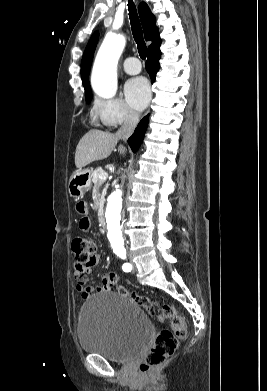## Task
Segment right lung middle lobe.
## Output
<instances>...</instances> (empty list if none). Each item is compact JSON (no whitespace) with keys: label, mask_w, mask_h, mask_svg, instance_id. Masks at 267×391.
<instances>
[{"label":"right lung middle lobe","mask_w":267,"mask_h":391,"mask_svg":"<svg viewBox=\"0 0 267 391\" xmlns=\"http://www.w3.org/2000/svg\"><path fill=\"white\" fill-rule=\"evenodd\" d=\"M85 99H86V102H87V103H90V102H91V99H92V93H91V91L85 92Z\"/></svg>","instance_id":"1"}]
</instances>
